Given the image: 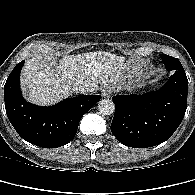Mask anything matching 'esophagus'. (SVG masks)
Here are the masks:
<instances>
[{
    "label": "esophagus",
    "mask_w": 195,
    "mask_h": 195,
    "mask_svg": "<svg viewBox=\"0 0 195 195\" xmlns=\"http://www.w3.org/2000/svg\"><path fill=\"white\" fill-rule=\"evenodd\" d=\"M113 93V88L111 86H106L105 88H103L101 94L102 97L104 98H109Z\"/></svg>",
    "instance_id": "1"
}]
</instances>
